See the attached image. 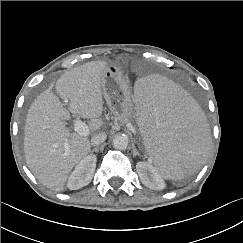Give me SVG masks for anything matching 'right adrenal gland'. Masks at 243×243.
Segmentation results:
<instances>
[{
  "instance_id": "right-adrenal-gland-1",
  "label": "right adrenal gland",
  "mask_w": 243,
  "mask_h": 243,
  "mask_svg": "<svg viewBox=\"0 0 243 243\" xmlns=\"http://www.w3.org/2000/svg\"><path fill=\"white\" fill-rule=\"evenodd\" d=\"M99 151V148L98 147H95L94 149H92L91 151H90V153H91V155L93 154V152H98Z\"/></svg>"
}]
</instances>
